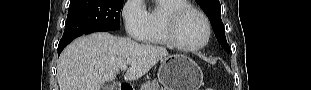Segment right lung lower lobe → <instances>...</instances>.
I'll list each match as a JSON object with an SVG mask.
<instances>
[{
	"label": "right lung lower lobe",
	"instance_id": "obj_1",
	"mask_svg": "<svg viewBox=\"0 0 311 90\" xmlns=\"http://www.w3.org/2000/svg\"><path fill=\"white\" fill-rule=\"evenodd\" d=\"M71 41L65 43H59L58 45V56L60 55L61 51L70 43Z\"/></svg>",
	"mask_w": 311,
	"mask_h": 90
}]
</instances>
